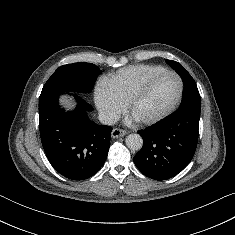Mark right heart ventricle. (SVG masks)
<instances>
[{
	"label": "right heart ventricle",
	"instance_id": "right-heart-ventricle-1",
	"mask_svg": "<svg viewBox=\"0 0 235 235\" xmlns=\"http://www.w3.org/2000/svg\"><path fill=\"white\" fill-rule=\"evenodd\" d=\"M165 70L158 65H132L110 74L104 79V84L124 106L150 76Z\"/></svg>",
	"mask_w": 235,
	"mask_h": 235
}]
</instances>
